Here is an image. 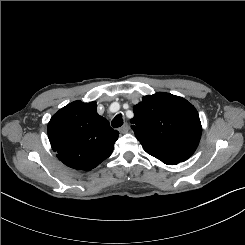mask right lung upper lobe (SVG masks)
<instances>
[{"mask_svg": "<svg viewBox=\"0 0 245 245\" xmlns=\"http://www.w3.org/2000/svg\"><path fill=\"white\" fill-rule=\"evenodd\" d=\"M118 135L97 113L95 101H74L48 123V138L57 158L77 170L89 171L108 158Z\"/></svg>", "mask_w": 245, "mask_h": 245, "instance_id": "1", "label": "right lung upper lobe"}]
</instances>
